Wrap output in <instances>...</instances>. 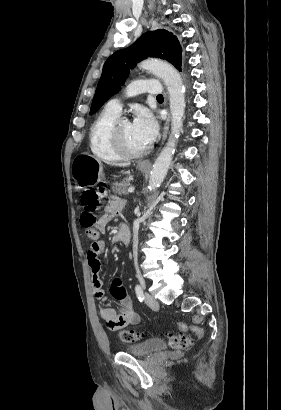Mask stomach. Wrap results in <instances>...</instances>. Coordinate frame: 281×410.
Returning <instances> with one entry per match:
<instances>
[{"label": "stomach", "instance_id": "1", "mask_svg": "<svg viewBox=\"0 0 281 410\" xmlns=\"http://www.w3.org/2000/svg\"><path fill=\"white\" fill-rule=\"evenodd\" d=\"M138 169L141 172L146 171L141 165ZM71 174L79 189L93 187L104 180L103 163L91 155H79L72 162Z\"/></svg>", "mask_w": 281, "mask_h": 410}]
</instances>
